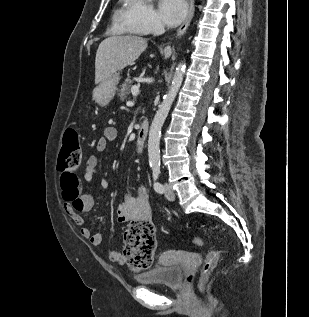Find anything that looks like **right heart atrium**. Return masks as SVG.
Instances as JSON below:
<instances>
[{
	"label": "right heart atrium",
	"mask_w": 309,
	"mask_h": 317,
	"mask_svg": "<svg viewBox=\"0 0 309 317\" xmlns=\"http://www.w3.org/2000/svg\"><path fill=\"white\" fill-rule=\"evenodd\" d=\"M124 26L131 32L146 35L162 28V23L148 0H126L122 13Z\"/></svg>",
	"instance_id": "d8ad5b80"
}]
</instances>
